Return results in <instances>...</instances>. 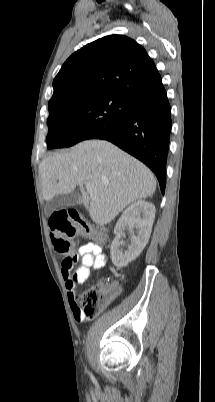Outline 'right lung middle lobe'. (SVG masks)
<instances>
[{"label": "right lung middle lobe", "instance_id": "dd1d6c3e", "mask_svg": "<svg viewBox=\"0 0 215 402\" xmlns=\"http://www.w3.org/2000/svg\"><path fill=\"white\" fill-rule=\"evenodd\" d=\"M131 101L118 95L61 97L49 101L47 148L69 147L120 121Z\"/></svg>", "mask_w": 215, "mask_h": 402}]
</instances>
